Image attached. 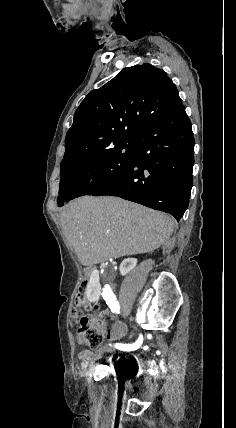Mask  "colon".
Wrapping results in <instances>:
<instances>
[{
  "mask_svg": "<svg viewBox=\"0 0 236 428\" xmlns=\"http://www.w3.org/2000/svg\"><path fill=\"white\" fill-rule=\"evenodd\" d=\"M87 286L88 280L85 278L77 289L76 306L72 311V318L77 323V342L91 349H97L104 339L105 330L98 307L89 305L87 301ZM84 310L90 311V314L84 315Z\"/></svg>",
  "mask_w": 236,
  "mask_h": 428,
  "instance_id": "obj_1",
  "label": "colon"
}]
</instances>
